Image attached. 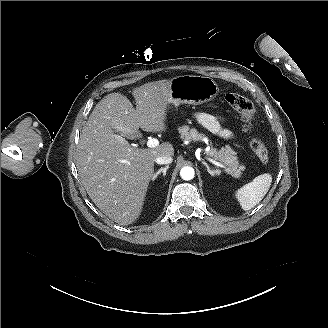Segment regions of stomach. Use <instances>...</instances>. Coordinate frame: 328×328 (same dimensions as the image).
<instances>
[{
    "label": "stomach",
    "instance_id": "0dacf381",
    "mask_svg": "<svg viewBox=\"0 0 328 328\" xmlns=\"http://www.w3.org/2000/svg\"><path fill=\"white\" fill-rule=\"evenodd\" d=\"M168 104L199 105L213 100L219 93L217 83L208 76L183 75L169 81Z\"/></svg>",
    "mask_w": 328,
    "mask_h": 328
}]
</instances>
